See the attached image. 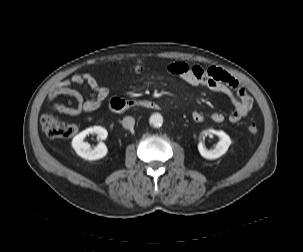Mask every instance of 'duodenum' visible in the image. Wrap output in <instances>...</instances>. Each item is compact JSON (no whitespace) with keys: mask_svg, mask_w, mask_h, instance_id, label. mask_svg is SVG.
Returning a JSON list of instances; mask_svg holds the SVG:
<instances>
[{"mask_svg":"<svg viewBox=\"0 0 303 252\" xmlns=\"http://www.w3.org/2000/svg\"><path fill=\"white\" fill-rule=\"evenodd\" d=\"M133 108H146L151 110H158L161 108V105L156 101H149V100L143 101V100L118 99L111 109L116 114H122L125 111Z\"/></svg>","mask_w":303,"mask_h":252,"instance_id":"1","label":"duodenum"}]
</instances>
